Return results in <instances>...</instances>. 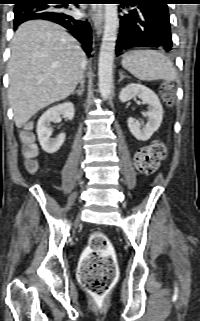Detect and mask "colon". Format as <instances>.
Listing matches in <instances>:
<instances>
[{
  "instance_id": "5ec220e1",
  "label": "colon",
  "mask_w": 200,
  "mask_h": 321,
  "mask_svg": "<svg viewBox=\"0 0 200 321\" xmlns=\"http://www.w3.org/2000/svg\"><path fill=\"white\" fill-rule=\"evenodd\" d=\"M162 95L167 104H172L173 85L169 83L163 85ZM22 138L24 155L27 158L26 167L33 173L37 169V164L33 160L37 154V147L31 134L25 133ZM166 154V146L161 141H155L141 148L135 155L137 170L144 175L153 174ZM116 275L115 254L109 238L99 231L92 233L79 267L81 285L92 296L101 299L110 289Z\"/></svg>"
}]
</instances>
